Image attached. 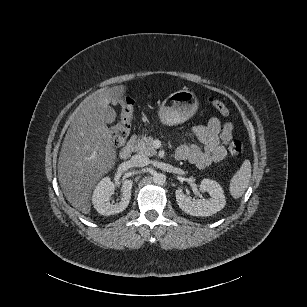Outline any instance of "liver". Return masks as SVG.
Wrapping results in <instances>:
<instances>
[{
	"instance_id": "liver-1",
	"label": "liver",
	"mask_w": 307,
	"mask_h": 307,
	"mask_svg": "<svg viewBox=\"0 0 307 307\" xmlns=\"http://www.w3.org/2000/svg\"><path fill=\"white\" fill-rule=\"evenodd\" d=\"M126 92L124 85L102 89L80 103L70 119L58 160V179L67 200L83 214L91 209V193L100 178L115 164L116 150L106 123L116 115L109 104ZM107 117V119H106Z\"/></svg>"
}]
</instances>
